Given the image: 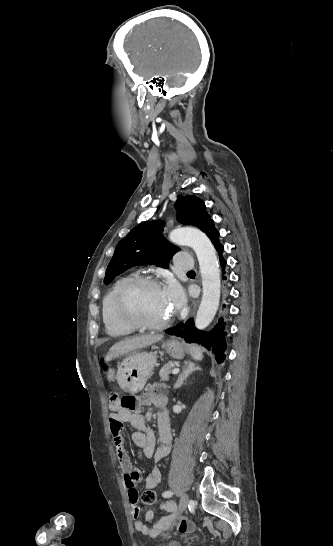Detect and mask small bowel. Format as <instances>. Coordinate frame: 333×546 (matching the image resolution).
<instances>
[{
  "mask_svg": "<svg viewBox=\"0 0 333 546\" xmlns=\"http://www.w3.org/2000/svg\"><path fill=\"white\" fill-rule=\"evenodd\" d=\"M107 377L110 381L116 380L117 372L109 371ZM156 405L159 410L158 416V435L147 425L146 420L152 418L151 413L145 415L141 411V407ZM114 412L109 416V428L114 442L118 465L123 474L124 486L128 492V499L131 504V514L134 521V527L137 531L144 535L156 537L170 528L175 522L176 504L167 502L162 505V509L168 512L159 521L147 525L138 517L141 512L139 505L137 485L142 479L139 469L133 467L130 458L125 448V436L123 433V425L130 424L134 429L132 432V441L136 446L142 449L147 458H153L157 463L164 458L171 450L172 435L169 425L168 398L163 392V386L152 384L146 387L145 391L138 398V403L134 408L116 407ZM161 472L157 467H154L150 474L145 479L147 488H156L161 482ZM153 511L146 512L145 519L148 523L153 521ZM188 528V524L183 521L179 526L181 532Z\"/></svg>",
  "mask_w": 333,
  "mask_h": 546,
  "instance_id": "obj_1",
  "label": "small bowel"
}]
</instances>
